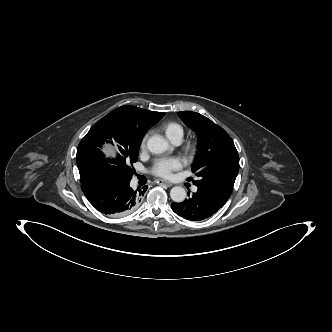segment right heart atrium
Returning <instances> with one entry per match:
<instances>
[{
    "mask_svg": "<svg viewBox=\"0 0 332 332\" xmlns=\"http://www.w3.org/2000/svg\"><path fill=\"white\" fill-rule=\"evenodd\" d=\"M146 141H147V135L143 138L142 142H141V148L145 149L146 147Z\"/></svg>",
    "mask_w": 332,
    "mask_h": 332,
    "instance_id": "d8ad5b80",
    "label": "right heart atrium"
}]
</instances>
